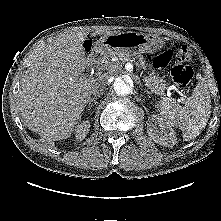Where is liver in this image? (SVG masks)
I'll return each mask as SVG.
<instances>
[{
    "mask_svg": "<svg viewBox=\"0 0 221 221\" xmlns=\"http://www.w3.org/2000/svg\"><path fill=\"white\" fill-rule=\"evenodd\" d=\"M87 34L83 30L60 34L43 48L21 82V115L28 127L45 139L70 137L92 88L107 77L84 75L87 60L83 43Z\"/></svg>",
    "mask_w": 221,
    "mask_h": 221,
    "instance_id": "6515ba94",
    "label": "liver"
}]
</instances>
